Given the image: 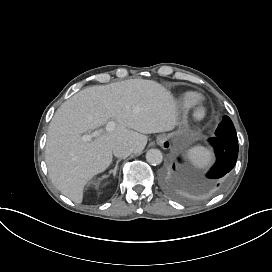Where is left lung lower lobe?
<instances>
[{
  "instance_id": "1",
  "label": "left lung lower lobe",
  "mask_w": 272,
  "mask_h": 272,
  "mask_svg": "<svg viewBox=\"0 0 272 272\" xmlns=\"http://www.w3.org/2000/svg\"><path fill=\"white\" fill-rule=\"evenodd\" d=\"M209 141L214 147L217 160L207 173V178L212 181L202 186L201 191L212 190L215 186H220L223 183L222 178L233 169L238 157L239 146L237 142L217 136L211 137Z\"/></svg>"
}]
</instances>
